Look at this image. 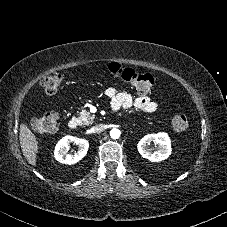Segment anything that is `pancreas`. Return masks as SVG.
<instances>
[{"label": "pancreas", "instance_id": "1", "mask_svg": "<svg viewBox=\"0 0 227 227\" xmlns=\"http://www.w3.org/2000/svg\"><path fill=\"white\" fill-rule=\"evenodd\" d=\"M79 120L82 125H90L94 122L95 115L91 114L90 112H88L86 110H82L79 113Z\"/></svg>", "mask_w": 227, "mask_h": 227}]
</instances>
